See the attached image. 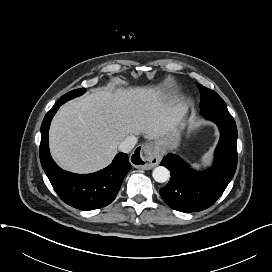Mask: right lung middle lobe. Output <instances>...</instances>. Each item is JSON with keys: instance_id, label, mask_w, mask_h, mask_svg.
<instances>
[{"instance_id": "obj_1", "label": "right lung middle lobe", "mask_w": 272, "mask_h": 272, "mask_svg": "<svg viewBox=\"0 0 272 272\" xmlns=\"http://www.w3.org/2000/svg\"><path fill=\"white\" fill-rule=\"evenodd\" d=\"M85 91H86L85 88H81V89H77V90L70 91V92L66 93L65 95H63V96L57 101V103L63 104V103L67 102V101L70 100V99H73V98H75V97H77V96L82 95Z\"/></svg>"}]
</instances>
